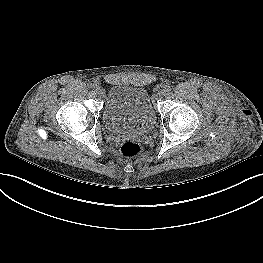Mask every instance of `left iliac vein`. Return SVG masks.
Instances as JSON below:
<instances>
[{"label": "left iliac vein", "instance_id": "obj_1", "mask_svg": "<svg viewBox=\"0 0 263 263\" xmlns=\"http://www.w3.org/2000/svg\"><path fill=\"white\" fill-rule=\"evenodd\" d=\"M165 95V90H161V92L159 93V96H164Z\"/></svg>", "mask_w": 263, "mask_h": 263}]
</instances>
